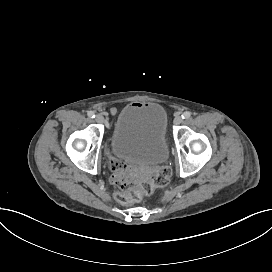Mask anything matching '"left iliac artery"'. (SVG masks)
<instances>
[{"label": "left iliac artery", "instance_id": "1", "mask_svg": "<svg viewBox=\"0 0 272 272\" xmlns=\"http://www.w3.org/2000/svg\"><path fill=\"white\" fill-rule=\"evenodd\" d=\"M181 116L183 119H189L191 117V113L186 111Z\"/></svg>", "mask_w": 272, "mask_h": 272}]
</instances>
